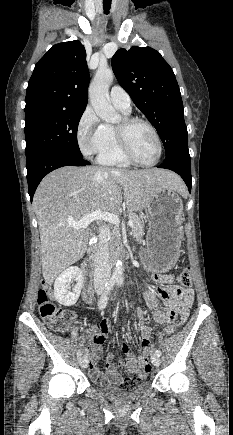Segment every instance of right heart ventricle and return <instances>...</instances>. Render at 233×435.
I'll return each instance as SVG.
<instances>
[{
    "instance_id": "1",
    "label": "right heart ventricle",
    "mask_w": 233,
    "mask_h": 435,
    "mask_svg": "<svg viewBox=\"0 0 233 435\" xmlns=\"http://www.w3.org/2000/svg\"><path fill=\"white\" fill-rule=\"evenodd\" d=\"M104 137L105 146L99 154L98 162L105 166L129 167L131 163L123 156L112 125L104 124Z\"/></svg>"
}]
</instances>
